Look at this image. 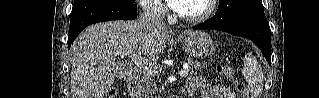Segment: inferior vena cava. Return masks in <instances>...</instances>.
I'll use <instances>...</instances> for the list:
<instances>
[{
	"label": "inferior vena cava",
	"instance_id": "1",
	"mask_svg": "<svg viewBox=\"0 0 319 98\" xmlns=\"http://www.w3.org/2000/svg\"><path fill=\"white\" fill-rule=\"evenodd\" d=\"M143 13L140 15V22L146 29L163 30L166 29L161 8L152 0H145L142 4Z\"/></svg>",
	"mask_w": 319,
	"mask_h": 98
}]
</instances>
